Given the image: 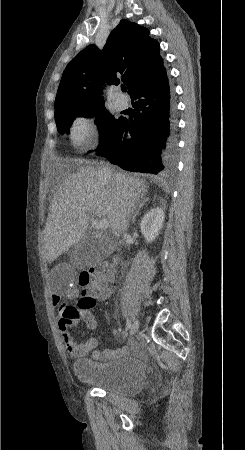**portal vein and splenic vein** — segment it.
<instances>
[{
    "label": "portal vein and splenic vein",
    "mask_w": 245,
    "mask_h": 450,
    "mask_svg": "<svg viewBox=\"0 0 245 450\" xmlns=\"http://www.w3.org/2000/svg\"><path fill=\"white\" fill-rule=\"evenodd\" d=\"M92 225L96 229L106 230L109 227V222L107 219L93 220Z\"/></svg>",
    "instance_id": "18ae733b"
}]
</instances>
